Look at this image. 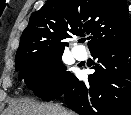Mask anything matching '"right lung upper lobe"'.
<instances>
[{"mask_svg":"<svg viewBox=\"0 0 131 115\" xmlns=\"http://www.w3.org/2000/svg\"><path fill=\"white\" fill-rule=\"evenodd\" d=\"M92 34L96 50L131 41V20L125 0H49L34 12L23 31L15 63L32 53L64 52L72 36Z\"/></svg>","mask_w":131,"mask_h":115,"instance_id":"cb5924a9","label":"right lung upper lobe"}]
</instances>
